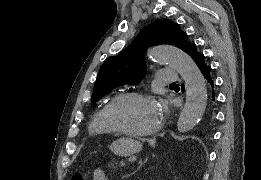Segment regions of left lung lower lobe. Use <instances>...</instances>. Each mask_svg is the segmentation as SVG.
Masks as SVG:
<instances>
[{
	"label": "left lung lower lobe",
	"mask_w": 261,
	"mask_h": 180,
	"mask_svg": "<svg viewBox=\"0 0 261 180\" xmlns=\"http://www.w3.org/2000/svg\"><path fill=\"white\" fill-rule=\"evenodd\" d=\"M188 54L195 61V63L199 67L201 73L204 75L205 79H207L208 82L210 83V86L213 87L214 83L210 76V67L205 64L204 55L197 52L195 44L190 48ZM214 100L215 99H214V95H213V101Z\"/></svg>",
	"instance_id": "obj_1"
}]
</instances>
